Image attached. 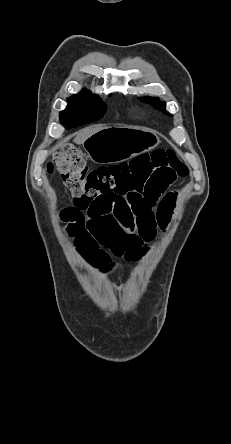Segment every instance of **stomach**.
Segmentation results:
<instances>
[{
  "label": "stomach",
  "instance_id": "stomach-1",
  "mask_svg": "<svg viewBox=\"0 0 231 444\" xmlns=\"http://www.w3.org/2000/svg\"><path fill=\"white\" fill-rule=\"evenodd\" d=\"M160 143L157 134L138 126L104 128L88 137L83 146L96 163H117L155 148Z\"/></svg>",
  "mask_w": 231,
  "mask_h": 444
}]
</instances>
